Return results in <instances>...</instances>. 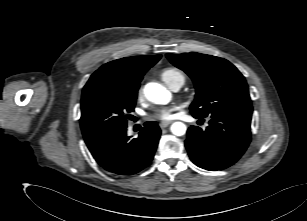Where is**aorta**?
Returning a JSON list of instances; mask_svg holds the SVG:
<instances>
[{
    "label": "aorta",
    "instance_id": "1",
    "mask_svg": "<svg viewBox=\"0 0 307 221\" xmlns=\"http://www.w3.org/2000/svg\"><path fill=\"white\" fill-rule=\"evenodd\" d=\"M145 97L154 104H168L171 100V93L159 83L150 82L144 87ZM171 132L176 136L186 133L187 127L182 122H174L171 125Z\"/></svg>",
    "mask_w": 307,
    "mask_h": 221
}]
</instances>
